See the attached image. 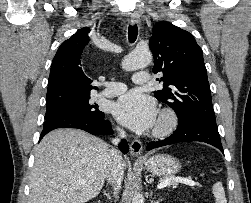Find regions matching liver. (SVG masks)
I'll use <instances>...</instances> for the list:
<instances>
[{
  "label": "liver",
  "instance_id": "obj_1",
  "mask_svg": "<svg viewBox=\"0 0 251 203\" xmlns=\"http://www.w3.org/2000/svg\"><path fill=\"white\" fill-rule=\"evenodd\" d=\"M111 163L103 140L81 130H54L35 149L29 203H86L99 194Z\"/></svg>",
  "mask_w": 251,
  "mask_h": 203
}]
</instances>
